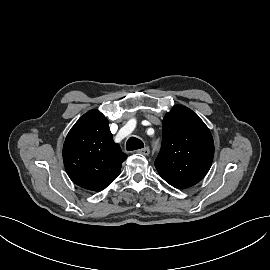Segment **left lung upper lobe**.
Segmentation results:
<instances>
[{
    "mask_svg": "<svg viewBox=\"0 0 270 270\" xmlns=\"http://www.w3.org/2000/svg\"><path fill=\"white\" fill-rule=\"evenodd\" d=\"M163 140L155 167L171 186L185 189L211 167L214 142L205 123L189 108L175 105L162 122Z\"/></svg>",
    "mask_w": 270,
    "mask_h": 270,
    "instance_id": "1",
    "label": "left lung upper lobe"
}]
</instances>
